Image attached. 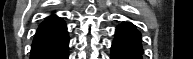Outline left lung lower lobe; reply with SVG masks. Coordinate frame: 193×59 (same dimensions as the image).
Returning a JSON list of instances; mask_svg holds the SVG:
<instances>
[{"label": "left lung lower lobe", "mask_w": 193, "mask_h": 59, "mask_svg": "<svg viewBox=\"0 0 193 59\" xmlns=\"http://www.w3.org/2000/svg\"><path fill=\"white\" fill-rule=\"evenodd\" d=\"M141 34L135 25L123 22L117 27L111 47V59H143Z\"/></svg>", "instance_id": "obj_1"}]
</instances>
